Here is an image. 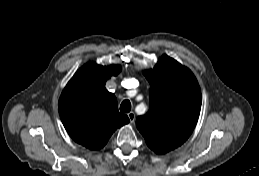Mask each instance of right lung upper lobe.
<instances>
[{"instance_id": "right-lung-upper-lobe-1", "label": "right lung upper lobe", "mask_w": 259, "mask_h": 176, "mask_svg": "<svg viewBox=\"0 0 259 176\" xmlns=\"http://www.w3.org/2000/svg\"><path fill=\"white\" fill-rule=\"evenodd\" d=\"M120 71L119 65L88 63L75 73L60 96L59 114L66 131L88 149H101L117 128L129 122L119 113L114 94L105 88L106 80Z\"/></svg>"}]
</instances>
